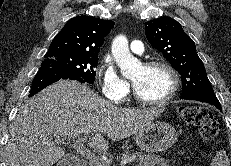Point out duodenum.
I'll use <instances>...</instances> for the list:
<instances>
[{"instance_id":"duodenum-1","label":"duodenum","mask_w":231,"mask_h":166,"mask_svg":"<svg viewBox=\"0 0 231 166\" xmlns=\"http://www.w3.org/2000/svg\"><path fill=\"white\" fill-rule=\"evenodd\" d=\"M62 166H85V162L79 156L70 155L62 163Z\"/></svg>"}]
</instances>
